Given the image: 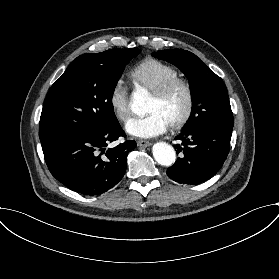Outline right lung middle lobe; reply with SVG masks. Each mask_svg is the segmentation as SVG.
<instances>
[{
  "label": "right lung middle lobe",
  "instance_id": "1",
  "mask_svg": "<svg viewBox=\"0 0 279 279\" xmlns=\"http://www.w3.org/2000/svg\"><path fill=\"white\" fill-rule=\"evenodd\" d=\"M139 49H111L77 57L45 99L39 138L43 152L69 137L117 123L112 96L125 65Z\"/></svg>",
  "mask_w": 279,
  "mask_h": 279
}]
</instances>
